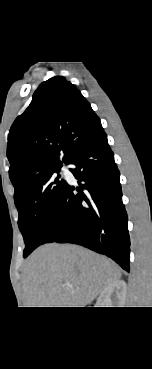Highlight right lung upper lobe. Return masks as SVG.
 I'll use <instances>...</instances> for the list:
<instances>
[{"label": "right lung upper lobe", "mask_w": 152, "mask_h": 369, "mask_svg": "<svg viewBox=\"0 0 152 369\" xmlns=\"http://www.w3.org/2000/svg\"><path fill=\"white\" fill-rule=\"evenodd\" d=\"M101 129L100 119L89 102L64 77L56 76L40 84L8 135L7 157L14 197L37 175L67 164L78 148Z\"/></svg>", "instance_id": "right-lung-upper-lobe-1"}]
</instances>
